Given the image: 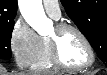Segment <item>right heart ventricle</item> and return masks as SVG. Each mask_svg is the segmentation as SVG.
<instances>
[{"mask_svg":"<svg viewBox=\"0 0 107 75\" xmlns=\"http://www.w3.org/2000/svg\"><path fill=\"white\" fill-rule=\"evenodd\" d=\"M31 68L35 71H50L55 68L50 59L49 43L47 38L40 37V47Z\"/></svg>","mask_w":107,"mask_h":75,"instance_id":"e07e8e85","label":"right heart ventricle"}]
</instances>
